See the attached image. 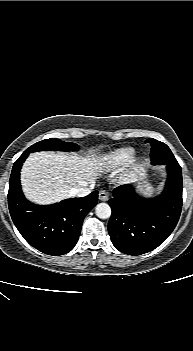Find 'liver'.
Returning <instances> with one entry per match:
<instances>
[{
    "label": "liver",
    "mask_w": 193,
    "mask_h": 351,
    "mask_svg": "<svg viewBox=\"0 0 193 351\" xmlns=\"http://www.w3.org/2000/svg\"><path fill=\"white\" fill-rule=\"evenodd\" d=\"M105 159L91 154L36 152L29 155L21 170V184L25 196L40 205L59 202L70 196L73 188L95 184ZM119 183L131 181L120 177Z\"/></svg>",
    "instance_id": "6515ba94"
}]
</instances>
